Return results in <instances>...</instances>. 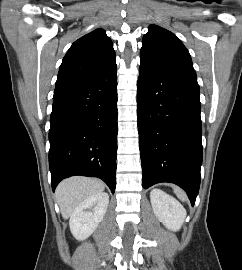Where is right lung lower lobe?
Segmentation results:
<instances>
[{"label": "right lung lower lobe", "instance_id": "98d812e1", "mask_svg": "<svg viewBox=\"0 0 242 270\" xmlns=\"http://www.w3.org/2000/svg\"><path fill=\"white\" fill-rule=\"evenodd\" d=\"M117 66L54 92L49 130L52 189L67 177H98L115 191Z\"/></svg>", "mask_w": 242, "mask_h": 270}]
</instances>
